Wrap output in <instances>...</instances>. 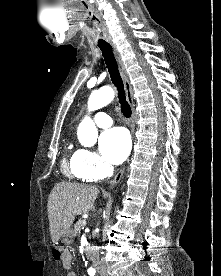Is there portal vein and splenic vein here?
Returning a JSON list of instances; mask_svg holds the SVG:
<instances>
[{
    "label": "portal vein and splenic vein",
    "instance_id": "1",
    "mask_svg": "<svg viewBox=\"0 0 221 276\" xmlns=\"http://www.w3.org/2000/svg\"><path fill=\"white\" fill-rule=\"evenodd\" d=\"M85 224V220H83V225Z\"/></svg>",
    "mask_w": 221,
    "mask_h": 276
}]
</instances>
